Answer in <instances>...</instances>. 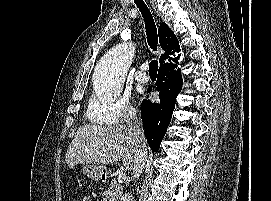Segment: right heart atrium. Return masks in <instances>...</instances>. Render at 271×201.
Returning a JSON list of instances; mask_svg holds the SVG:
<instances>
[{
	"label": "right heart atrium",
	"instance_id": "d8ad5b80",
	"mask_svg": "<svg viewBox=\"0 0 271 201\" xmlns=\"http://www.w3.org/2000/svg\"><path fill=\"white\" fill-rule=\"evenodd\" d=\"M87 117L95 122L122 126L136 119V111L126 97L105 102L95 96L89 103Z\"/></svg>",
	"mask_w": 271,
	"mask_h": 201
}]
</instances>
